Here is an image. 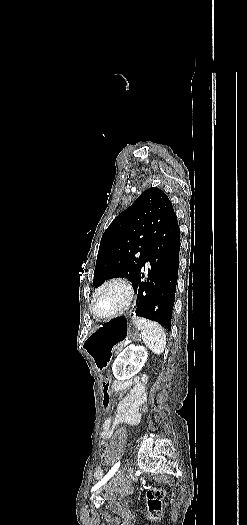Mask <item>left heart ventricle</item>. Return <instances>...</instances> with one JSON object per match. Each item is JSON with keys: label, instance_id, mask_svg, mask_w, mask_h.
<instances>
[{"label": "left heart ventricle", "instance_id": "1", "mask_svg": "<svg viewBox=\"0 0 247 525\" xmlns=\"http://www.w3.org/2000/svg\"><path fill=\"white\" fill-rule=\"evenodd\" d=\"M127 298V291L120 286H106L95 299V308L100 313H106L118 308Z\"/></svg>", "mask_w": 247, "mask_h": 525}]
</instances>
